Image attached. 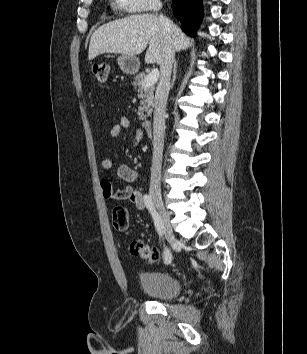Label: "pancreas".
<instances>
[{
	"label": "pancreas",
	"mask_w": 307,
	"mask_h": 354,
	"mask_svg": "<svg viewBox=\"0 0 307 354\" xmlns=\"http://www.w3.org/2000/svg\"><path fill=\"white\" fill-rule=\"evenodd\" d=\"M146 76L145 73H140L136 75L133 81V85L139 93L138 97L141 99L138 107V118L140 120H145L147 116H150L154 107V87H144L142 85Z\"/></svg>",
	"instance_id": "obj_1"
}]
</instances>
